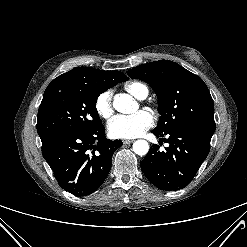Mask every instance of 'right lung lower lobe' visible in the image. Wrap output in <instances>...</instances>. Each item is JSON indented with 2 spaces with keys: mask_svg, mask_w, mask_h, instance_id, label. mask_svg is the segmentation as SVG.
Masks as SVG:
<instances>
[{
  "mask_svg": "<svg viewBox=\"0 0 247 247\" xmlns=\"http://www.w3.org/2000/svg\"><path fill=\"white\" fill-rule=\"evenodd\" d=\"M41 141L42 155L58 184L77 196L89 195L103 184L113 153L122 145L121 140L105 138L103 125L92 131L65 132Z\"/></svg>",
  "mask_w": 247,
  "mask_h": 247,
  "instance_id": "1",
  "label": "right lung lower lobe"
}]
</instances>
